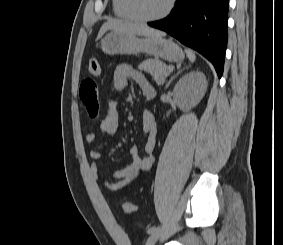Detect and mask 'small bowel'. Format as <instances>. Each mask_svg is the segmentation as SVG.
<instances>
[{"label": "small bowel", "mask_w": 283, "mask_h": 245, "mask_svg": "<svg viewBox=\"0 0 283 245\" xmlns=\"http://www.w3.org/2000/svg\"><path fill=\"white\" fill-rule=\"evenodd\" d=\"M133 80L141 89L144 99L151 100L155 91L146 76L140 71L134 69L129 64H119L113 74V85L117 91H122ZM81 102L83 103L88 115L95 119L99 114L98 86L93 78H85L79 91ZM143 127V154H140L138 146L129 148V156L131 163L116 171L113 174V180L101 178L98 173V161L102 158L103 153L100 150H91L90 157L92 164L90 166V178L93 181H100L105 187L111 190L122 189L133 183L140 172L149 170L154 162V148L157 136V123L150 111H145L142 116ZM100 129L103 133L113 136L119 129V112L117 100H112L107 108L106 115L100 123ZM96 134L90 132L86 135V141L93 143L96 141Z\"/></svg>", "instance_id": "obj_1"}]
</instances>
